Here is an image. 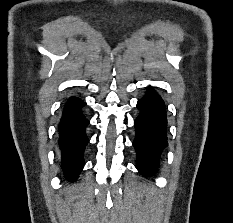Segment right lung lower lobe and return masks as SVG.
Instances as JSON below:
<instances>
[{"instance_id": "right-lung-lower-lobe-1", "label": "right lung lower lobe", "mask_w": 233, "mask_h": 223, "mask_svg": "<svg viewBox=\"0 0 233 223\" xmlns=\"http://www.w3.org/2000/svg\"><path fill=\"white\" fill-rule=\"evenodd\" d=\"M84 105L79 98H70L65 104L58 127L62 169L71 181L76 180L83 168V152L88 143L85 127L89 121L81 112Z\"/></svg>"}]
</instances>
